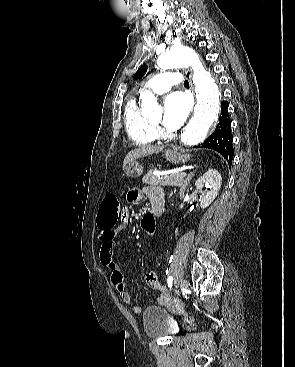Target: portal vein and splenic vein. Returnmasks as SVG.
<instances>
[{
  "label": "portal vein and splenic vein",
  "mask_w": 295,
  "mask_h": 367,
  "mask_svg": "<svg viewBox=\"0 0 295 367\" xmlns=\"http://www.w3.org/2000/svg\"><path fill=\"white\" fill-rule=\"evenodd\" d=\"M178 175H179V176L184 177V176H186V175H187V173H185V172H181V173H178Z\"/></svg>",
  "instance_id": "18ae733b"
}]
</instances>
